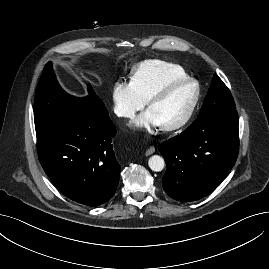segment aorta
Masks as SVG:
<instances>
[{
    "instance_id": "762f6f07",
    "label": "aorta",
    "mask_w": 269,
    "mask_h": 269,
    "mask_svg": "<svg viewBox=\"0 0 269 269\" xmlns=\"http://www.w3.org/2000/svg\"><path fill=\"white\" fill-rule=\"evenodd\" d=\"M148 165L152 171L160 172L165 166L164 159L159 155H153L148 160Z\"/></svg>"
}]
</instances>
